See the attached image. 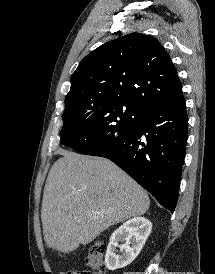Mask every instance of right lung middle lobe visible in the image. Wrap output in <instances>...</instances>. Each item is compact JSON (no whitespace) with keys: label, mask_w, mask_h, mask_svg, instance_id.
I'll list each match as a JSON object with an SVG mask.
<instances>
[{"label":"right lung middle lobe","mask_w":215,"mask_h":274,"mask_svg":"<svg viewBox=\"0 0 215 274\" xmlns=\"http://www.w3.org/2000/svg\"><path fill=\"white\" fill-rule=\"evenodd\" d=\"M142 112L120 101L65 102L61 143L86 153L128 132Z\"/></svg>","instance_id":"obj_1"}]
</instances>
